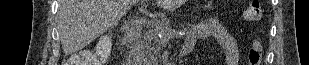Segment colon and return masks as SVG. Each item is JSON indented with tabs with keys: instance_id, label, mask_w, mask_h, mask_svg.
Returning a JSON list of instances; mask_svg holds the SVG:
<instances>
[{
	"instance_id": "obj_1",
	"label": "colon",
	"mask_w": 309,
	"mask_h": 65,
	"mask_svg": "<svg viewBox=\"0 0 309 65\" xmlns=\"http://www.w3.org/2000/svg\"><path fill=\"white\" fill-rule=\"evenodd\" d=\"M245 19L249 22H258L263 17V9L259 1H251L246 9ZM112 38L106 36L99 39L92 50H82L72 60L76 65H100L111 54ZM263 52V44L260 39H254L248 51V65H260Z\"/></svg>"
}]
</instances>
